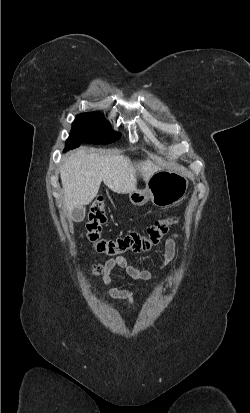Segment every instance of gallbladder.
<instances>
[{
    "label": "gallbladder",
    "mask_w": 250,
    "mask_h": 413,
    "mask_svg": "<svg viewBox=\"0 0 250 413\" xmlns=\"http://www.w3.org/2000/svg\"><path fill=\"white\" fill-rule=\"evenodd\" d=\"M84 217H85V208L84 207H78V208H75L72 211V219L75 222H81L84 219Z\"/></svg>",
    "instance_id": "1"
}]
</instances>
